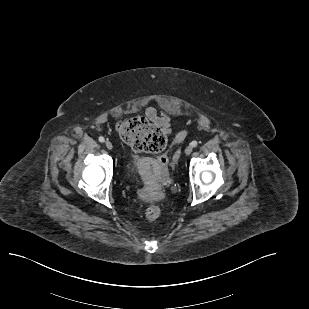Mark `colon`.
Instances as JSON below:
<instances>
[{"mask_svg":"<svg viewBox=\"0 0 309 309\" xmlns=\"http://www.w3.org/2000/svg\"><path fill=\"white\" fill-rule=\"evenodd\" d=\"M119 137L136 151L147 153H160L166 149V135L154 124L141 116H135L124 119L116 127ZM186 137L185 132L179 133L175 142L179 143ZM169 156L163 154L159 158V164L163 171H166ZM160 215V208L156 205H150L145 211L146 219L156 220Z\"/></svg>","mask_w":309,"mask_h":309,"instance_id":"1","label":"colon"}]
</instances>
